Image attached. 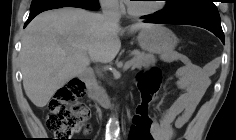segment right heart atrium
Returning <instances> with one entry per match:
<instances>
[{
    "mask_svg": "<svg viewBox=\"0 0 236 140\" xmlns=\"http://www.w3.org/2000/svg\"><path fill=\"white\" fill-rule=\"evenodd\" d=\"M100 4L108 13L120 15L124 12L121 0H100Z\"/></svg>",
    "mask_w": 236,
    "mask_h": 140,
    "instance_id": "obj_1",
    "label": "right heart atrium"
}]
</instances>
